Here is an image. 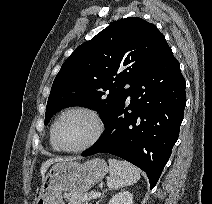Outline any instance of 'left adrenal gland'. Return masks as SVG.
Returning <instances> with one entry per match:
<instances>
[{
  "label": "left adrenal gland",
  "instance_id": "1",
  "mask_svg": "<svg viewBox=\"0 0 212 204\" xmlns=\"http://www.w3.org/2000/svg\"><path fill=\"white\" fill-rule=\"evenodd\" d=\"M105 192H106V191H105ZM105 192H103V193H102V195H101L100 199L96 202V204H99V203H100V201H102V199L104 198V193H105Z\"/></svg>",
  "mask_w": 212,
  "mask_h": 204
}]
</instances>
